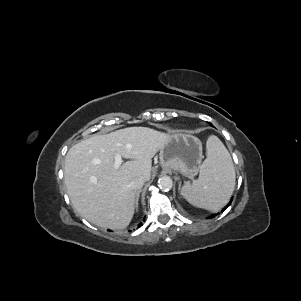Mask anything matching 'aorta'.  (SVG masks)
<instances>
[{
    "instance_id": "762f6f07",
    "label": "aorta",
    "mask_w": 301,
    "mask_h": 301,
    "mask_svg": "<svg viewBox=\"0 0 301 301\" xmlns=\"http://www.w3.org/2000/svg\"><path fill=\"white\" fill-rule=\"evenodd\" d=\"M158 186L161 190L169 191L173 187V180L169 176H162L158 180Z\"/></svg>"
}]
</instances>
